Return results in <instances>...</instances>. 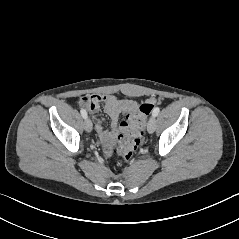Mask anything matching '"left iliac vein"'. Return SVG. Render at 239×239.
I'll use <instances>...</instances> for the list:
<instances>
[{
	"label": "left iliac vein",
	"mask_w": 239,
	"mask_h": 239,
	"mask_svg": "<svg viewBox=\"0 0 239 239\" xmlns=\"http://www.w3.org/2000/svg\"><path fill=\"white\" fill-rule=\"evenodd\" d=\"M155 128H156V119L155 116L152 115L147 124V131L149 133H153L155 131Z\"/></svg>",
	"instance_id": "4c4485c4"
}]
</instances>
